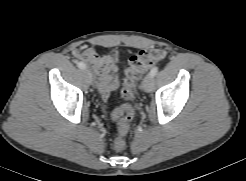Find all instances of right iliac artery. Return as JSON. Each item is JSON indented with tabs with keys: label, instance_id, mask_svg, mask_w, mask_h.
Instances as JSON below:
<instances>
[{
	"label": "right iliac artery",
	"instance_id": "right-iliac-artery-1",
	"mask_svg": "<svg viewBox=\"0 0 246 181\" xmlns=\"http://www.w3.org/2000/svg\"><path fill=\"white\" fill-rule=\"evenodd\" d=\"M77 66L80 68V69H86V64H84L83 62H78L77 63Z\"/></svg>",
	"mask_w": 246,
	"mask_h": 181
}]
</instances>
